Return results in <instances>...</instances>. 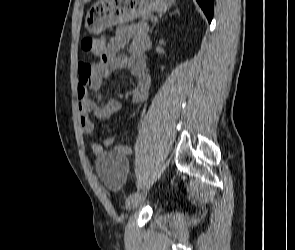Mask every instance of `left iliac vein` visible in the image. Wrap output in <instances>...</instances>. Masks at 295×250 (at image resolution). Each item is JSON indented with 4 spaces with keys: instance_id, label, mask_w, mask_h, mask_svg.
Instances as JSON below:
<instances>
[{
    "instance_id": "obj_1",
    "label": "left iliac vein",
    "mask_w": 295,
    "mask_h": 250,
    "mask_svg": "<svg viewBox=\"0 0 295 250\" xmlns=\"http://www.w3.org/2000/svg\"><path fill=\"white\" fill-rule=\"evenodd\" d=\"M147 194V193H146ZM146 194H140L138 197L133 199L130 204H128L129 209H135L137 208L140 204H142L145 200Z\"/></svg>"
}]
</instances>
